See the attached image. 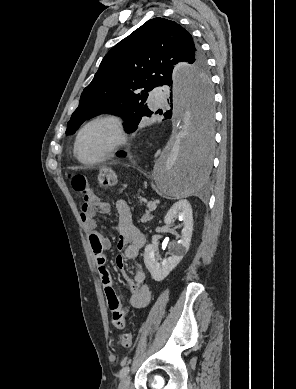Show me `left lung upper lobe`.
Here are the masks:
<instances>
[{"label": "left lung upper lobe", "instance_id": "left-lung-upper-lobe-1", "mask_svg": "<svg viewBox=\"0 0 296 389\" xmlns=\"http://www.w3.org/2000/svg\"><path fill=\"white\" fill-rule=\"evenodd\" d=\"M180 61L191 65L193 87L195 82L200 89L211 87L206 60L190 33L174 21L148 20L105 55L81 94L66 134H73L86 119L101 113L125 118L126 132L135 131L142 117L153 113L145 103L148 92L172 82L174 65ZM197 100L204 126L212 121V115H205ZM207 135L210 138L208 131Z\"/></svg>", "mask_w": 296, "mask_h": 389}]
</instances>
